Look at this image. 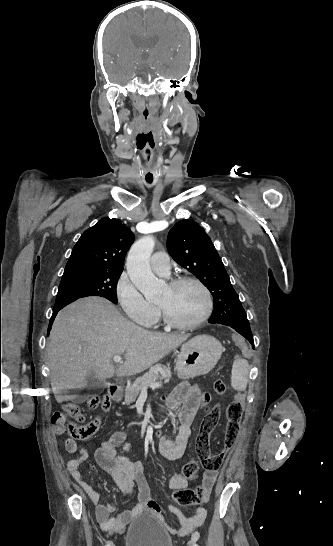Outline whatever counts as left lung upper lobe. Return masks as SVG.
<instances>
[{"label": "left lung upper lobe", "mask_w": 333, "mask_h": 546, "mask_svg": "<svg viewBox=\"0 0 333 546\" xmlns=\"http://www.w3.org/2000/svg\"><path fill=\"white\" fill-rule=\"evenodd\" d=\"M167 248L172 258L200 279L211 292L214 309L210 319L232 325L246 318L222 260L199 224L189 219L177 222L168 234Z\"/></svg>", "instance_id": "left-lung-upper-lobe-1"}]
</instances>
